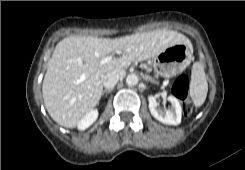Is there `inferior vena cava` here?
Instances as JSON below:
<instances>
[{
  "mask_svg": "<svg viewBox=\"0 0 245 170\" xmlns=\"http://www.w3.org/2000/svg\"><path fill=\"white\" fill-rule=\"evenodd\" d=\"M125 75V71L117 72H109L105 77L103 81V85L106 89H112L118 80Z\"/></svg>",
  "mask_w": 245,
  "mask_h": 170,
  "instance_id": "1",
  "label": "inferior vena cava"
}]
</instances>
